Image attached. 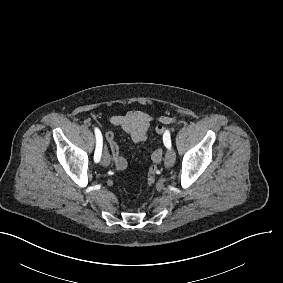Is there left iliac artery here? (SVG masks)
<instances>
[{
  "instance_id": "obj_1",
  "label": "left iliac artery",
  "mask_w": 283,
  "mask_h": 283,
  "mask_svg": "<svg viewBox=\"0 0 283 283\" xmlns=\"http://www.w3.org/2000/svg\"><path fill=\"white\" fill-rule=\"evenodd\" d=\"M163 142L166 148L170 149L171 148V139H170V133L167 130L164 135H163Z\"/></svg>"
}]
</instances>
